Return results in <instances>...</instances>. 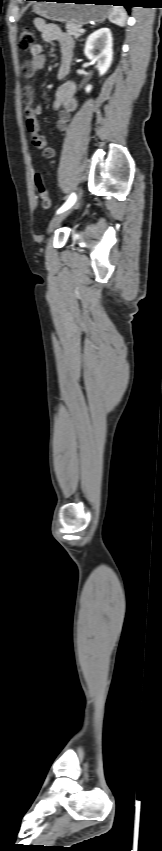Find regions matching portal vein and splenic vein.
<instances>
[{
    "label": "portal vein and splenic vein",
    "instance_id": "1",
    "mask_svg": "<svg viewBox=\"0 0 162 851\" xmlns=\"http://www.w3.org/2000/svg\"><path fill=\"white\" fill-rule=\"evenodd\" d=\"M80 32H85V29H80Z\"/></svg>",
    "mask_w": 162,
    "mask_h": 851
}]
</instances>
